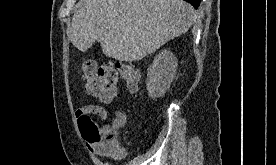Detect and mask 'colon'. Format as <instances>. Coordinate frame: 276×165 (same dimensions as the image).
Listing matches in <instances>:
<instances>
[{"instance_id": "colon-1", "label": "colon", "mask_w": 276, "mask_h": 165, "mask_svg": "<svg viewBox=\"0 0 276 165\" xmlns=\"http://www.w3.org/2000/svg\"><path fill=\"white\" fill-rule=\"evenodd\" d=\"M119 78H122L129 90H136L140 80L139 72L127 63H105L99 66L87 59L82 65V79L88 95L102 102H111L117 95ZM120 117L117 124L123 123ZM79 126L89 146L102 144L114 153L120 152L119 142L112 130L103 129L90 116L80 118Z\"/></svg>"}]
</instances>
